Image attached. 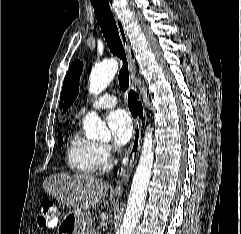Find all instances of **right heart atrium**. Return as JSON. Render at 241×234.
Segmentation results:
<instances>
[{"label": "right heart atrium", "mask_w": 241, "mask_h": 234, "mask_svg": "<svg viewBox=\"0 0 241 234\" xmlns=\"http://www.w3.org/2000/svg\"><path fill=\"white\" fill-rule=\"evenodd\" d=\"M99 152L103 166H106L113 155V149L109 144L102 143L99 144Z\"/></svg>", "instance_id": "obj_1"}]
</instances>
